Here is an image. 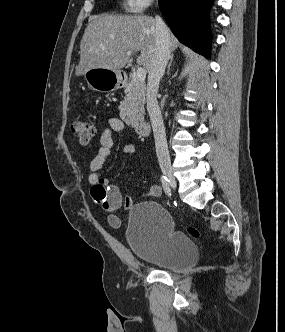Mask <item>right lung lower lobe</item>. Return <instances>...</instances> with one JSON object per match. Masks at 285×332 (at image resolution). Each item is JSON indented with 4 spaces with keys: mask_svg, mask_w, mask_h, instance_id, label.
Here are the masks:
<instances>
[{
    "mask_svg": "<svg viewBox=\"0 0 285 332\" xmlns=\"http://www.w3.org/2000/svg\"><path fill=\"white\" fill-rule=\"evenodd\" d=\"M213 0H159L169 27L180 42L209 57L208 10Z\"/></svg>",
    "mask_w": 285,
    "mask_h": 332,
    "instance_id": "1",
    "label": "right lung lower lobe"
}]
</instances>
